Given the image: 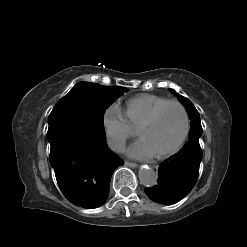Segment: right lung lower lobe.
I'll use <instances>...</instances> for the list:
<instances>
[{
  "label": "right lung lower lobe",
  "mask_w": 247,
  "mask_h": 247,
  "mask_svg": "<svg viewBox=\"0 0 247 247\" xmlns=\"http://www.w3.org/2000/svg\"><path fill=\"white\" fill-rule=\"evenodd\" d=\"M50 163L57 183L72 204L94 209L107 199L114 170L124 162L105 138L76 121L49 124Z\"/></svg>",
  "instance_id": "98d812e1"
}]
</instances>
